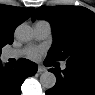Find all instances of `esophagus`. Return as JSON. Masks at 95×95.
I'll return each instance as SVG.
<instances>
[{
  "mask_svg": "<svg viewBox=\"0 0 95 95\" xmlns=\"http://www.w3.org/2000/svg\"><path fill=\"white\" fill-rule=\"evenodd\" d=\"M46 71V68L45 67H43V66H41V65H39L38 66V73H43V72H45Z\"/></svg>",
  "mask_w": 95,
  "mask_h": 95,
  "instance_id": "obj_1",
  "label": "esophagus"
}]
</instances>
